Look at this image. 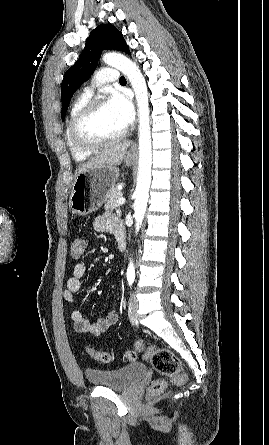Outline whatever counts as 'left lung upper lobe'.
<instances>
[{
    "label": "left lung upper lobe",
    "mask_w": 269,
    "mask_h": 445,
    "mask_svg": "<svg viewBox=\"0 0 269 445\" xmlns=\"http://www.w3.org/2000/svg\"><path fill=\"white\" fill-rule=\"evenodd\" d=\"M118 50L130 54L123 35L112 24H100L89 35L76 63L64 75L61 88L62 120L74 92L89 79L103 50Z\"/></svg>",
    "instance_id": "obj_1"
}]
</instances>
